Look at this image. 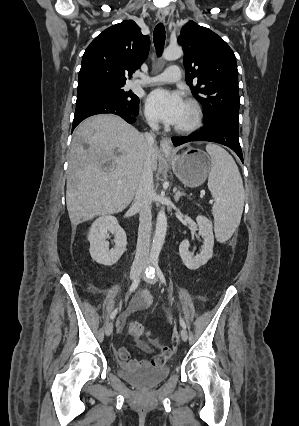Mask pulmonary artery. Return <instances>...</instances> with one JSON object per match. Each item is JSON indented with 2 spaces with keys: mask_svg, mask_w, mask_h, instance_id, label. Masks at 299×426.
Segmentation results:
<instances>
[{
  "mask_svg": "<svg viewBox=\"0 0 299 426\" xmlns=\"http://www.w3.org/2000/svg\"><path fill=\"white\" fill-rule=\"evenodd\" d=\"M181 79V70L178 66L173 65L168 67L165 71H163L161 74L148 77V78H141L140 80L136 81V84L138 85H155V84H161V83H173L177 82Z\"/></svg>",
  "mask_w": 299,
  "mask_h": 426,
  "instance_id": "obj_1",
  "label": "pulmonary artery"
}]
</instances>
